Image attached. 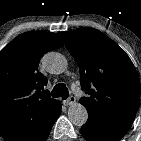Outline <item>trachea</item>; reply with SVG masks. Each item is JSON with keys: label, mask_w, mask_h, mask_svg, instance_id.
I'll use <instances>...</instances> for the list:
<instances>
[{"label": "trachea", "mask_w": 141, "mask_h": 141, "mask_svg": "<svg viewBox=\"0 0 141 141\" xmlns=\"http://www.w3.org/2000/svg\"><path fill=\"white\" fill-rule=\"evenodd\" d=\"M52 96L53 97L62 96L64 99H66L69 96V92L64 84H58L52 90Z\"/></svg>", "instance_id": "trachea-1"}]
</instances>
